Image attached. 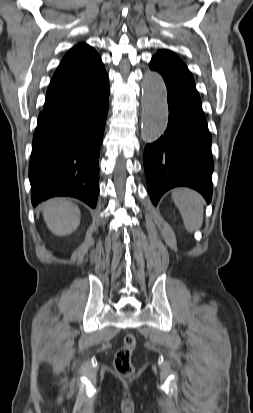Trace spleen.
Listing matches in <instances>:
<instances>
[{
    "mask_svg": "<svg viewBox=\"0 0 253 413\" xmlns=\"http://www.w3.org/2000/svg\"><path fill=\"white\" fill-rule=\"evenodd\" d=\"M172 199L177 206L185 228L189 232L199 229L203 224L204 199L194 190L180 188L174 190Z\"/></svg>",
    "mask_w": 253,
    "mask_h": 413,
    "instance_id": "obj_1",
    "label": "spleen"
}]
</instances>
